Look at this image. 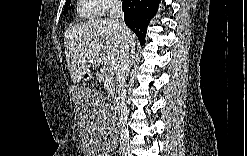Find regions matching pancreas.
Segmentation results:
<instances>
[{
    "label": "pancreas",
    "instance_id": "obj_1",
    "mask_svg": "<svg viewBox=\"0 0 247 156\" xmlns=\"http://www.w3.org/2000/svg\"><path fill=\"white\" fill-rule=\"evenodd\" d=\"M114 78L115 76L113 74L106 71H102L98 74V80L104 84V88L108 94H110L114 88Z\"/></svg>",
    "mask_w": 247,
    "mask_h": 156
}]
</instances>
